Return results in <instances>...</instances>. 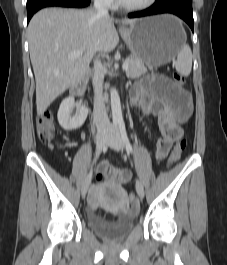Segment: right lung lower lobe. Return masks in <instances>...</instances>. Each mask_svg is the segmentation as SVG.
I'll use <instances>...</instances> for the list:
<instances>
[{
    "label": "right lung lower lobe",
    "instance_id": "1",
    "mask_svg": "<svg viewBox=\"0 0 227 265\" xmlns=\"http://www.w3.org/2000/svg\"><path fill=\"white\" fill-rule=\"evenodd\" d=\"M90 3V0H32L27 2V20L31 19L34 13L38 10L51 7V6H60V7H86Z\"/></svg>",
    "mask_w": 227,
    "mask_h": 265
}]
</instances>
